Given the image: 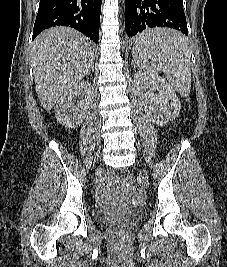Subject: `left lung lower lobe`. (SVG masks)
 I'll list each match as a JSON object with an SVG mask.
<instances>
[{
  "label": "left lung lower lobe",
  "mask_w": 227,
  "mask_h": 267,
  "mask_svg": "<svg viewBox=\"0 0 227 267\" xmlns=\"http://www.w3.org/2000/svg\"><path fill=\"white\" fill-rule=\"evenodd\" d=\"M149 27L174 28L188 35L183 0H125L127 35L134 37ZM163 45L170 46L171 42Z\"/></svg>",
  "instance_id": "0a47b994"
}]
</instances>
